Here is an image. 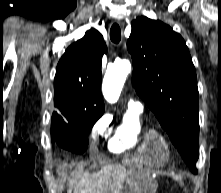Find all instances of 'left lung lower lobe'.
<instances>
[{
  "instance_id": "0a47b994",
  "label": "left lung lower lobe",
  "mask_w": 221,
  "mask_h": 193,
  "mask_svg": "<svg viewBox=\"0 0 221 193\" xmlns=\"http://www.w3.org/2000/svg\"><path fill=\"white\" fill-rule=\"evenodd\" d=\"M189 167H190V169H191L194 173H197L196 164H195V165H190Z\"/></svg>"
}]
</instances>
